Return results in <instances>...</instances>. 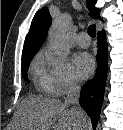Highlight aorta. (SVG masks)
<instances>
[{"instance_id":"aorta-1","label":"aorta","mask_w":123,"mask_h":130,"mask_svg":"<svg viewBox=\"0 0 123 130\" xmlns=\"http://www.w3.org/2000/svg\"><path fill=\"white\" fill-rule=\"evenodd\" d=\"M49 39L51 48L55 54L60 55L67 48L68 20L66 15H63L52 24L49 30Z\"/></svg>"}]
</instances>
